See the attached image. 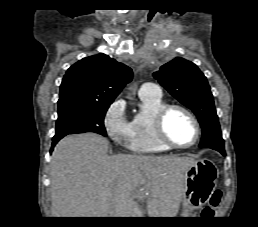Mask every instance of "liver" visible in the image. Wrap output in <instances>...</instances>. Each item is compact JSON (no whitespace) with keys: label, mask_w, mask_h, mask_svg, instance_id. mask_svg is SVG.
Masks as SVG:
<instances>
[{"label":"liver","mask_w":258,"mask_h":227,"mask_svg":"<svg viewBox=\"0 0 258 227\" xmlns=\"http://www.w3.org/2000/svg\"><path fill=\"white\" fill-rule=\"evenodd\" d=\"M109 142L93 133L66 136L50 164L53 217H175L190 157L108 156Z\"/></svg>","instance_id":"liver-1"}]
</instances>
